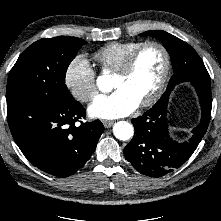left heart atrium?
I'll return each mask as SVG.
<instances>
[{"instance_id":"39dd6f15","label":"left heart atrium","mask_w":221,"mask_h":221,"mask_svg":"<svg viewBox=\"0 0 221 221\" xmlns=\"http://www.w3.org/2000/svg\"><path fill=\"white\" fill-rule=\"evenodd\" d=\"M138 103L124 90L116 89L108 95H98L89 106V113L98 118L114 119L126 116Z\"/></svg>"}]
</instances>
